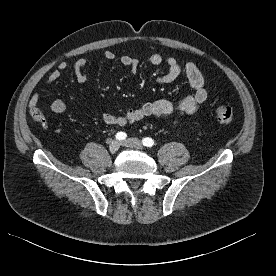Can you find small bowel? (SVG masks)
<instances>
[{
  "label": "small bowel",
  "instance_id": "small-bowel-1",
  "mask_svg": "<svg viewBox=\"0 0 276 276\" xmlns=\"http://www.w3.org/2000/svg\"><path fill=\"white\" fill-rule=\"evenodd\" d=\"M104 58L108 61H113L116 55L113 51L107 50L104 52ZM120 62L123 66L128 67L132 74H137L139 70V60L129 55H123L120 58ZM146 62L150 65L157 66L161 63H165L167 72L157 78L159 84H168L177 79L181 74H184L192 93L182 99L178 104H173L167 100H157L150 103H146L137 109H131L126 111L120 116H114L109 113L102 115V121L110 125L124 126L128 124L136 123L146 117H172L175 115H191L194 114L201 105L207 99V90L205 88L204 78L192 62H188L184 68L173 57L163 58L160 54L153 53L146 56ZM87 61L84 57L78 58L73 64V71L78 83L84 84L87 79L86 73ZM68 68V64L65 61H61L58 67L53 70L46 81L47 86L54 84L61 76V73ZM39 102V94L33 93L30 99L32 106L37 105ZM51 110L55 114H62L66 110V104L64 101L57 99L51 103Z\"/></svg>",
  "mask_w": 276,
  "mask_h": 276
}]
</instances>
